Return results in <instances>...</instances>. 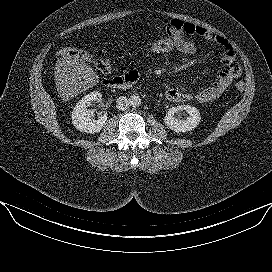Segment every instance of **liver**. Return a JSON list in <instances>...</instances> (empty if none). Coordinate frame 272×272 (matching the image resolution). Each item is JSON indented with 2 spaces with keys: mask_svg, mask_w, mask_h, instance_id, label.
Segmentation results:
<instances>
[{
  "mask_svg": "<svg viewBox=\"0 0 272 272\" xmlns=\"http://www.w3.org/2000/svg\"><path fill=\"white\" fill-rule=\"evenodd\" d=\"M55 84L61 99L66 102L95 86L99 76L92 67L77 56H62L55 65Z\"/></svg>",
  "mask_w": 272,
  "mask_h": 272,
  "instance_id": "liver-1",
  "label": "liver"
}]
</instances>
